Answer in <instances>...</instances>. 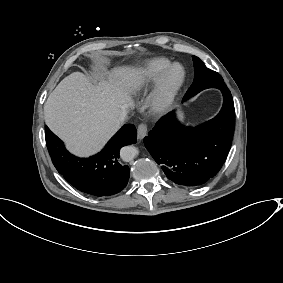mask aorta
<instances>
[{
    "mask_svg": "<svg viewBox=\"0 0 283 283\" xmlns=\"http://www.w3.org/2000/svg\"><path fill=\"white\" fill-rule=\"evenodd\" d=\"M138 154V149L135 146H125L120 151V156L123 161L129 162L133 160Z\"/></svg>",
    "mask_w": 283,
    "mask_h": 283,
    "instance_id": "obj_1",
    "label": "aorta"
}]
</instances>
